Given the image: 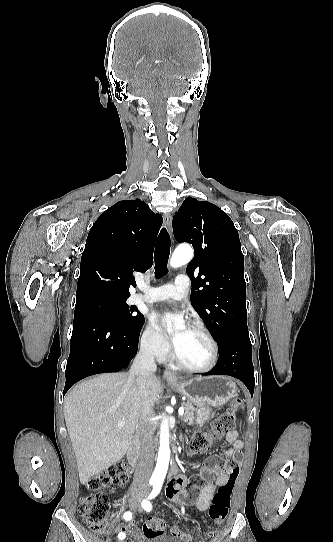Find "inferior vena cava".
I'll return each mask as SVG.
<instances>
[{"instance_id": "1", "label": "inferior vena cava", "mask_w": 333, "mask_h": 542, "mask_svg": "<svg viewBox=\"0 0 333 542\" xmlns=\"http://www.w3.org/2000/svg\"><path fill=\"white\" fill-rule=\"evenodd\" d=\"M156 364L153 354H150L148 350H140L138 356H136L131 368L130 374H136V384L138 386L140 394V402L145 418L141 420L139 424V436L141 440V450L137 462V466L134 472L133 490H146L148 492L149 480L152 474V468L154 464V444L153 434L154 426L148 422L152 414L153 400L150 398L148 386L155 378L154 372H156Z\"/></svg>"}]
</instances>
